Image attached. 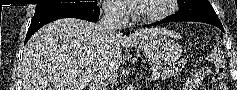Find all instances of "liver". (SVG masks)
Instances as JSON below:
<instances>
[{
    "instance_id": "1",
    "label": "liver",
    "mask_w": 237,
    "mask_h": 90,
    "mask_svg": "<svg viewBox=\"0 0 237 90\" xmlns=\"http://www.w3.org/2000/svg\"><path fill=\"white\" fill-rule=\"evenodd\" d=\"M150 34L158 30L101 38L99 24L76 18L56 20L40 28L24 48L23 90H86L94 64L104 60L114 72L122 64L120 46H138Z\"/></svg>"
}]
</instances>
